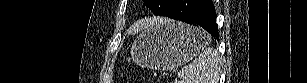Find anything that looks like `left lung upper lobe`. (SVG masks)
I'll use <instances>...</instances> for the list:
<instances>
[{
    "label": "left lung upper lobe",
    "instance_id": "left-lung-upper-lobe-1",
    "mask_svg": "<svg viewBox=\"0 0 307 83\" xmlns=\"http://www.w3.org/2000/svg\"><path fill=\"white\" fill-rule=\"evenodd\" d=\"M174 2V0H144L155 15L165 16L167 9Z\"/></svg>",
    "mask_w": 307,
    "mask_h": 83
}]
</instances>
